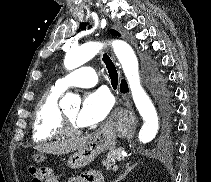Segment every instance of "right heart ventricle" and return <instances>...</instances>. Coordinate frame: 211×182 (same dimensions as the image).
Wrapping results in <instances>:
<instances>
[{"instance_id": "1", "label": "right heart ventricle", "mask_w": 211, "mask_h": 182, "mask_svg": "<svg viewBox=\"0 0 211 182\" xmlns=\"http://www.w3.org/2000/svg\"><path fill=\"white\" fill-rule=\"evenodd\" d=\"M62 90L57 86L48 89L38 101L32 125V139L36 143L47 142L62 136L59 117V98Z\"/></svg>"}]
</instances>
